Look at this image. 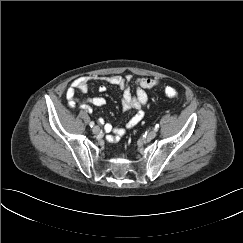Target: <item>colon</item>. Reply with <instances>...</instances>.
<instances>
[{
    "label": "colon",
    "mask_w": 243,
    "mask_h": 243,
    "mask_svg": "<svg viewBox=\"0 0 243 243\" xmlns=\"http://www.w3.org/2000/svg\"><path fill=\"white\" fill-rule=\"evenodd\" d=\"M165 94L170 98H176L178 96L177 90L173 87H166Z\"/></svg>",
    "instance_id": "colon-1"
}]
</instances>
